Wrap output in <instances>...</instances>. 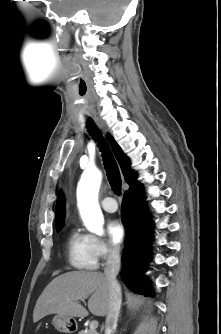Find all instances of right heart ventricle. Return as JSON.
<instances>
[{
  "mask_svg": "<svg viewBox=\"0 0 221 334\" xmlns=\"http://www.w3.org/2000/svg\"><path fill=\"white\" fill-rule=\"evenodd\" d=\"M69 264L78 270L91 271L97 268L98 259L93 249L92 236L72 228L66 238Z\"/></svg>",
  "mask_w": 221,
  "mask_h": 334,
  "instance_id": "obj_1",
  "label": "right heart ventricle"
}]
</instances>
